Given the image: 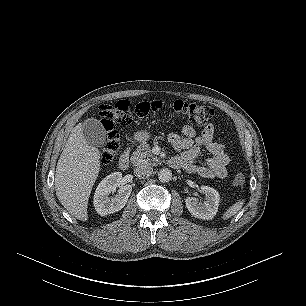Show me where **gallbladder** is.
<instances>
[{"instance_id": "1", "label": "gallbladder", "mask_w": 306, "mask_h": 306, "mask_svg": "<svg viewBox=\"0 0 306 306\" xmlns=\"http://www.w3.org/2000/svg\"><path fill=\"white\" fill-rule=\"evenodd\" d=\"M83 135L91 146H103L107 139V133L101 123L93 118L87 119L82 124Z\"/></svg>"}]
</instances>
